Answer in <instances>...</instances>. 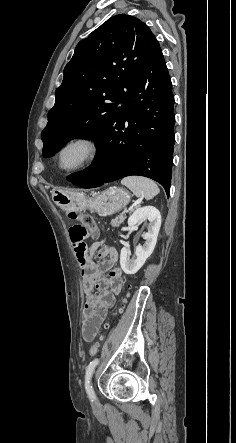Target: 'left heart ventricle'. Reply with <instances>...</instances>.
Masks as SVG:
<instances>
[{
  "mask_svg": "<svg viewBox=\"0 0 236 443\" xmlns=\"http://www.w3.org/2000/svg\"><path fill=\"white\" fill-rule=\"evenodd\" d=\"M86 155V149L82 145H73L68 148L62 157L64 167H72L79 164Z\"/></svg>",
  "mask_w": 236,
  "mask_h": 443,
  "instance_id": "b2bd125f",
  "label": "left heart ventricle"
}]
</instances>
